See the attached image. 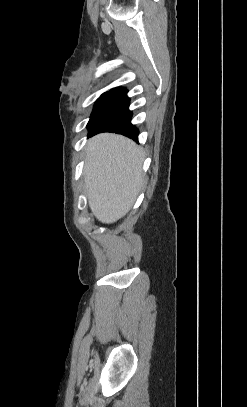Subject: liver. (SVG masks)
Listing matches in <instances>:
<instances>
[{"instance_id": "6515ba94", "label": "liver", "mask_w": 247, "mask_h": 407, "mask_svg": "<svg viewBox=\"0 0 247 407\" xmlns=\"http://www.w3.org/2000/svg\"><path fill=\"white\" fill-rule=\"evenodd\" d=\"M85 190L92 214L104 224L125 216L142 187L144 154L121 135L99 134L88 142Z\"/></svg>"}]
</instances>
